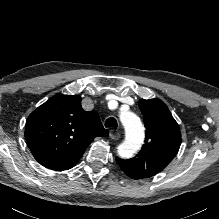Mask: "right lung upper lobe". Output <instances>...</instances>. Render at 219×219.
<instances>
[{
	"instance_id": "1",
	"label": "right lung upper lobe",
	"mask_w": 219,
	"mask_h": 219,
	"mask_svg": "<svg viewBox=\"0 0 219 219\" xmlns=\"http://www.w3.org/2000/svg\"><path fill=\"white\" fill-rule=\"evenodd\" d=\"M108 134L95 110L82 109L78 95L51 97L29 115L25 127L33 157L54 171L75 166L96 137Z\"/></svg>"
}]
</instances>
